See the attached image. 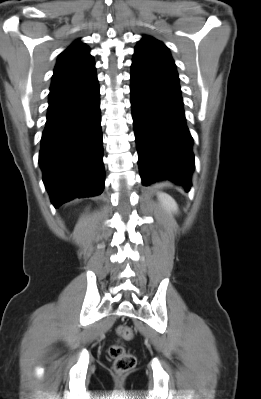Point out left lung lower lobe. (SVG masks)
Here are the masks:
<instances>
[{
    "label": "left lung lower lobe",
    "instance_id": "1",
    "mask_svg": "<svg viewBox=\"0 0 261 399\" xmlns=\"http://www.w3.org/2000/svg\"><path fill=\"white\" fill-rule=\"evenodd\" d=\"M131 107L143 185L169 179L191 187L193 139L178 75L131 66Z\"/></svg>",
    "mask_w": 261,
    "mask_h": 399
}]
</instances>
